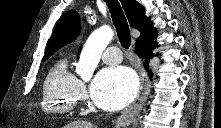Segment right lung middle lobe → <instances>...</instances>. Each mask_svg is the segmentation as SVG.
<instances>
[{
	"instance_id": "obj_1",
	"label": "right lung middle lobe",
	"mask_w": 221,
	"mask_h": 128,
	"mask_svg": "<svg viewBox=\"0 0 221 128\" xmlns=\"http://www.w3.org/2000/svg\"><path fill=\"white\" fill-rule=\"evenodd\" d=\"M51 55L44 56V60L48 59Z\"/></svg>"
}]
</instances>
